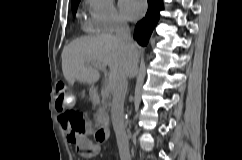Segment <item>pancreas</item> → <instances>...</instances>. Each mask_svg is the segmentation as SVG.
<instances>
[{"mask_svg": "<svg viewBox=\"0 0 242 160\" xmlns=\"http://www.w3.org/2000/svg\"><path fill=\"white\" fill-rule=\"evenodd\" d=\"M96 126L99 125H108L109 124V115L106 112V105L103 104L94 115Z\"/></svg>", "mask_w": 242, "mask_h": 160, "instance_id": "obj_1", "label": "pancreas"}]
</instances>
